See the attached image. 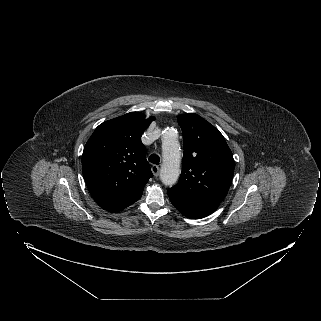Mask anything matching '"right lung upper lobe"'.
Masks as SVG:
<instances>
[{"instance_id":"1","label":"right lung upper lobe","mask_w":321,"mask_h":321,"mask_svg":"<svg viewBox=\"0 0 321 321\" xmlns=\"http://www.w3.org/2000/svg\"><path fill=\"white\" fill-rule=\"evenodd\" d=\"M154 120L130 112L100 124L85 145L82 170L97 204L118 212L140 199L153 176L141 135Z\"/></svg>"}]
</instances>
